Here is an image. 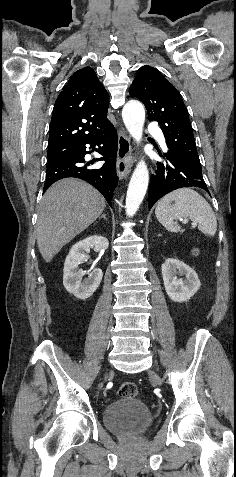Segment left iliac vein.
Returning a JSON list of instances; mask_svg holds the SVG:
<instances>
[{
    "label": "left iliac vein",
    "instance_id": "4c4485c4",
    "mask_svg": "<svg viewBox=\"0 0 236 477\" xmlns=\"http://www.w3.org/2000/svg\"><path fill=\"white\" fill-rule=\"evenodd\" d=\"M149 374L152 380H154L158 384H161L160 378L153 371H150Z\"/></svg>",
    "mask_w": 236,
    "mask_h": 477
}]
</instances>
